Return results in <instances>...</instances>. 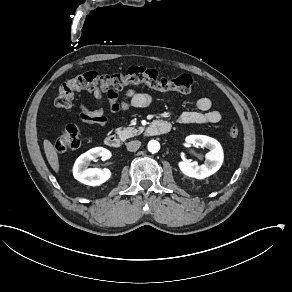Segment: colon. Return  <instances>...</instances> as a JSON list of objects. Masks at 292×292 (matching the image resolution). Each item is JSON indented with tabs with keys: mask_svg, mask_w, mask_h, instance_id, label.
Instances as JSON below:
<instances>
[{
	"mask_svg": "<svg viewBox=\"0 0 292 292\" xmlns=\"http://www.w3.org/2000/svg\"><path fill=\"white\" fill-rule=\"evenodd\" d=\"M128 84H144L149 88L160 91H179L190 93L193 86L192 78L187 74L175 77L161 76L157 71L144 66H132L125 74L111 76L100 75L96 72H87L61 84L55 98L56 107L60 110L69 109L74 96L82 90H121ZM231 136L239 135V128L232 126L229 129ZM81 145L79 131L72 125L61 129L55 142V149L59 152L78 149Z\"/></svg>",
	"mask_w": 292,
	"mask_h": 292,
	"instance_id": "colon-1",
	"label": "colon"
}]
</instances>
